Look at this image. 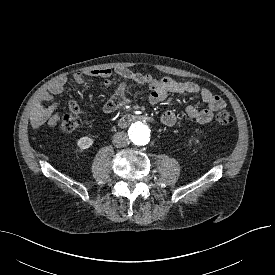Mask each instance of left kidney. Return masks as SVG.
Wrapping results in <instances>:
<instances>
[{
	"mask_svg": "<svg viewBox=\"0 0 275 275\" xmlns=\"http://www.w3.org/2000/svg\"><path fill=\"white\" fill-rule=\"evenodd\" d=\"M193 141L197 144H199V140L197 138L193 139Z\"/></svg>",
	"mask_w": 275,
	"mask_h": 275,
	"instance_id": "obj_1",
	"label": "left kidney"
}]
</instances>
